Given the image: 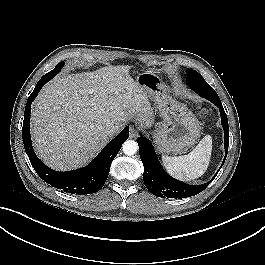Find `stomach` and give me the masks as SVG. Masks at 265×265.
<instances>
[{
    "mask_svg": "<svg viewBox=\"0 0 265 265\" xmlns=\"http://www.w3.org/2000/svg\"><path fill=\"white\" fill-rule=\"evenodd\" d=\"M159 110L154 142L160 153L176 154L192 147L200 136V123L188 108L174 99L153 71L139 73L135 81Z\"/></svg>",
    "mask_w": 265,
    "mask_h": 265,
    "instance_id": "1",
    "label": "stomach"
}]
</instances>
